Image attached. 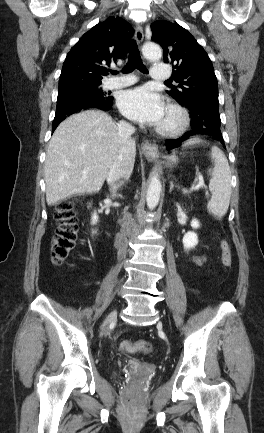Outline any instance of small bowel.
Listing matches in <instances>:
<instances>
[{
  "mask_svg": "<svg viewBox=\"0 0 264 433\" xmlns=\"http://www.w3.org/2000/svg\"><path fill=\"white\" fill-rule=\"evenodd\" d=\"M195 262L198 263V264L202 263L203 262V257H196L195 258Z\"/></svg>",
  "mask_w": 264,
  "mask_h": 433,
  "instance_id": "1",
  "label": "small bowel"
}]
</instances>
